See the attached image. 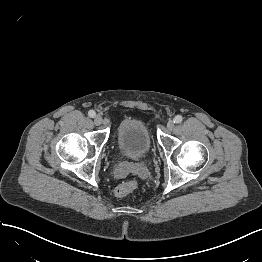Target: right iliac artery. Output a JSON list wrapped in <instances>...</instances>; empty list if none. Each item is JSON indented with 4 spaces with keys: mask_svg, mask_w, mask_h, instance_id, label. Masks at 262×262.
Instances as JSON below:
<instances>
[{
    "mask_svg": "<svg viewBox=\"0 0 262 262\" xmlns=\"http://www.w3.org/2000/svg\"><path fill=\"white\" fill-rule=\"evenodd\" d=\"M88 115H89V117L93 118V117L96 115V113H95V111L90 110V111L88 112Z\"/></svg>",
    "mask_w": 262,
    "mask_h": 262,
    "instance_id": "obj_1",
    "label": "right iliac artery"
}]
</instances>
